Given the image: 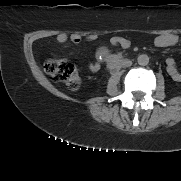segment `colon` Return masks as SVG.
<instances>
[{"label": "colon", "mask_w": 181, "mask_h": 181, "mask_svg": "<svg viewBox=\"0 0 181 181\" xmlns=\"http://www.w3.org/2000/svg\"><path fill=\"white\" fill-rule=\"evenodd\" d=\"M44 69L55 81L64 83L72 90L78 89L81 84L75 65L68 59L51 57L46 60Z\"/></svg>", "instance_id": "colon-1"}]
</instances>
